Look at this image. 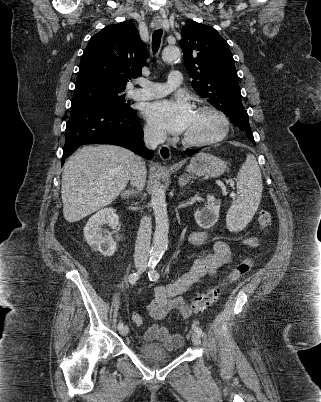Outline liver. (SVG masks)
<instances>
[{"label":"liver","mask_w":321,"mask_h":402,"mask_svg":"<svg viewBox=\"0 0 321 402\" xmlns=\"http://www.w3.org/2000/svg\"><path fill=\"white\" fill-rule=\"evenodd\" d=\"M140 158L115 145L84 146L62 173L63 215L73 223L114 201L126 187Z\"/></svg>","instance_id":"6515ba94"}]
</instances>
